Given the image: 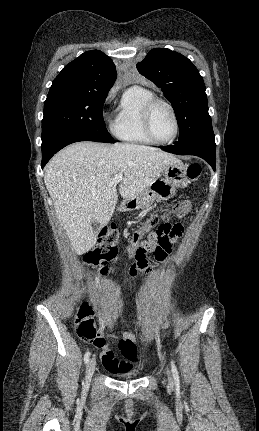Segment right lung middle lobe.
Returning <instances> with one entry per match:
<instances>
[{
    "instance_id": "dd1d6c3e",
    "label": "right lung middle lobe",
    "mask_w": 259,
    "mask_h": 431,
    "mask_svg": "<svg viewBox=\"0 0 259 431\" xmlns=\"http://www.w3.org/2000/svg\"><path fill=\"white\" fill-rule=\"evenodd\" d=\"M107 94L108 92L74 90L49 91L44 104L42 141L61 131H80L114 143L103 119V104Z\"/></svg>"
}]
</instances>
